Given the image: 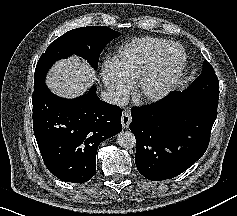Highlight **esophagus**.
Listing matches in <instances>:
<instances>
[{
    "label": "esophagus",
    "mask_w": 237,
    "mask_h": 216,
    "mask_svg": "<svg viewBox=\"0 0 237 216\" xmlns=\"http://www.w3.org/2000/svg\"><path fill=\"white\" fill-rule=\"evenodd\" d=\"M131 114L128 110L123 111L122 113V118H121V123H122V127L124 129L128 128L130 122H131Z\"/></svg>",
    "instance_id": "34e87169"
}]
</instances>
